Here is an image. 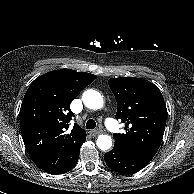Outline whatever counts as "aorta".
Masks as SVG:
<instances>
[{"label": "aorta", "instance_id": "obj_1", "mask_svg": "<svg viewBox=\"0 0 194 194\" xmlns=\"http://www.w3.org/2000/svg\"><path fill=\"white\" fill-rule=\"evenodd\" d=\"M84 105L93 110L103 107V97L95 90H86L82 95ZM98 148L102 151H107L112 147V139L109 135H99L96 141Z\"/></svg>", "mask_w": 194, "mask_h": 194}]
</instances>
